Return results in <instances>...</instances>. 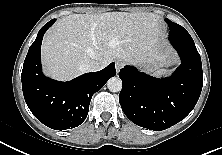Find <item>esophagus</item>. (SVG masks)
Instances as JSON below:
<instances>
[{"label": "esophagus", "instance_id": "34e87169", "mask_svg": "<svg viewBox=\"0 0 222 155\" xmlns=\"http://www.w3.org/2000/svg\"><path fill=\"white\" fill-rule=\"evenodd\" d=\"M115 67H116V71L118 73L120 71V69L123 67V63L121 61L117 60L115 62Z\"/></svg>", "mask_w": 222, "mask_h": 155}]
</instances>
